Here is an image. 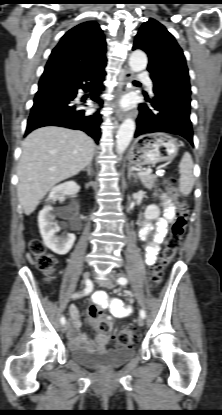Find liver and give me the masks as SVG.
<instances>
[{
  "mask_svg": "<svg viewBox=\"0 0 222 415\" xmlns=\"http://www.w3.org/2000/svg\"><path fill=\"white\" fill-rule=\"evenodd\" d=\"M95 143L78 130L47 126L23 141L17 175L18 200L30 215L57 183L77 175L94 155Z\"/></svg>",
  "mask_w": 222,
  "mask_h": 415,
  "instance_id": "1",
  "label": "liver"
}]
</instances>
